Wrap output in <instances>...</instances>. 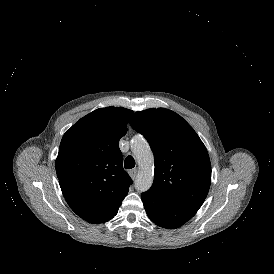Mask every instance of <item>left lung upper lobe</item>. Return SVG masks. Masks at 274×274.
Returning <instances> with one entry per match:
<instances>
[{"instance_id": "5c2ea615", "label": "left lung upper lobe", "mask_w": 274, "mask_h": 274, "mask_svg": "<svg viewBox=\"0 0 274 274\" xmlns=\"http://www.w3.org/2000/svg\"><path fill=\"white\" fill-rule=\"evenodd\" d=\"M130 124L147 139L154 153L155 176L149 190L198 210L210 188L211 164L193 128L165 108L138 111Z\"/></svg>"}]
</instances>
